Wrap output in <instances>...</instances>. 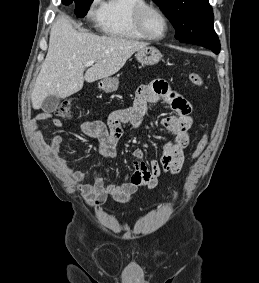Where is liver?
Masks as SVG:
<instances>
[{
    "mask_svg": "<svg viewBox=\"0 0 259 283\" xmlns=\"http://www.w3.org/2000/svg\"><path fill=\"white\" fill-rule=\"evenodd\" d=\"M146 42L118 36H98L76 31L68 16H59L51 27L49 48L32 91L34 109H40L48 96L66 98L80 91L84 81L108 78ZM95 60L85 75V63Z\"/></svg>",
    "mask_w": 259,
    "mask_h": 283,
    "instance_id": "1",
    "label": "liver"
}]
</instances>
